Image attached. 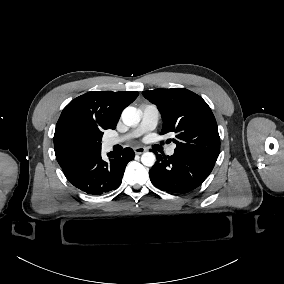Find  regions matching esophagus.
<instances>
[{
    "mask_svg": "<svg viewBox=\"0 0 284 284\" xmlns=\"http://www.w3.org/2000/svg\"><path fill=\"white\" fill-rule=\"evenodd\" d=\"M133 150L135 154H143L146 151L144 147H134Z\"/></svg>",
    "mask_w": 284,
    "mask_h": 284,
    "instance_id": "esophagus-1",
    "label": "esophagus"
}]
</instances>
